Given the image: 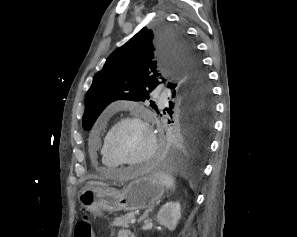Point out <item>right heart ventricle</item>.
<instances>
[{"label":"right heart ventricle","mask_w":297,"mask_h":237,"mask_svg":"<svg viewBox=\"0 0 297 237\" xmlns=\"http://www.w3.org/2000/svg\"><path fill=\"white\" fill-rule=\"evenodd\" d=\"M100 159L104 167L110 170L117 169L120 165L109 155L105 147V139L100 147Z\"/></svg>","instance_id":"obj_1"}]
</instances>
